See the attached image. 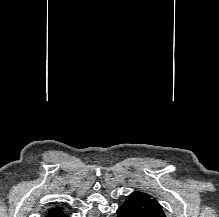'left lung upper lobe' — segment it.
Masks as SVG:
<instances>
[{
	"label": "left lung upper lobe",
	"instance_id": "obj_1",
	"mask_svg": "<svg viewBox=\"0 0 219 217\" xmlns=\"http://www.w3.org/2000/svg\"><path fill=\"white\" fill-rule=\"evenodd\" d=\"M128 202L144 217H166L161 205L148 193L133 192L126 198Z\"/></svg>",
	"mask_w": 219,
	"mask_h": 217
}]
</instances>
